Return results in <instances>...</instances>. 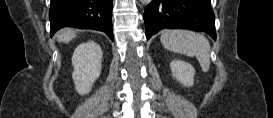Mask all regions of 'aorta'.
Returning <instances> with one entry per match:
<instances>
[{
  "label": "aorta",
  "mask_w": 273,
  "mask_h": 118,
  "mask_svg": "<svg viewBox=\"0 0 273 118\" xmlns=\"http://www.w3.org/2000/svg\"><path fill=\"white\" fill-rule=\"evenodd\" d=\"M142 4H149L150 0H141Z\"/></svg>",
  "instance_id": "obj_1"
}]
</instances>
